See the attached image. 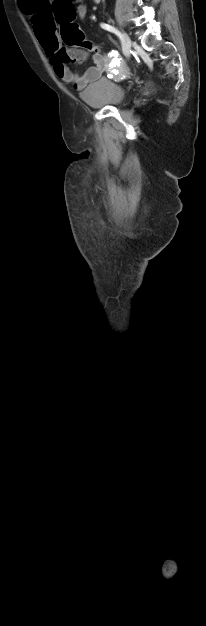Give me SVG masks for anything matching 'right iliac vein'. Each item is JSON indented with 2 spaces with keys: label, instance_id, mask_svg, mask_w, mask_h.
Instances as JSON below:
<instances>
[{
  "label": "right iliac vein",
  "instance_id": "obj_1",
  "mask_svg": "<svg viewBox=\"0 0 206 626\" xmlns=\"http://www.w3.org/2000/svg\"><path fill=\"white\" fill-rule=\"evenodd\" d=\"M121 35H122V40H123L122 45H123L124 54L127 57H129L130 56V51H131L132 41H131L129 36L124 31L121 32Z\"/></svg>",
  "mask_w": 206,
  "mask_h": 626
}]
</instances>
